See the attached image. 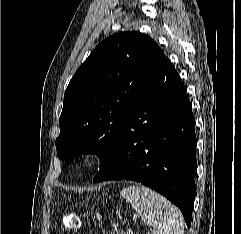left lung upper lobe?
<instances>
[{
	"label": "left lung upper lobe",
	"mask_w": 241,
	"mask_h": 234,
	"mask_svg": "<svg viewBox=\"0 0 241 234\" xmlns=\"http://www.w3.org/2000/svg\"><path fill=\"white\" fill-rule=\"evenodd\" d=\"M164 57L156 42L137 31L102 41L65 91L55 142L60 159L70 164L79 154L95 153L102 168L131 105Z\"/></svg>",
	"instance_id": "obj_1"
}]
</instances>
